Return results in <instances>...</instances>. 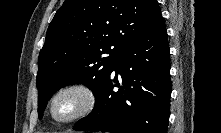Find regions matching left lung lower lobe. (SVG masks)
<instances>
[{
	"instance_id": "1",
	"label": "left lung lower lobe",
	"mask_w": 221,
	"mask_h": 133,
	"mask_svg": "<svg viewBox=\"0 0 221 133\" xmlns=\"http://www.w3.org/2000/svg\"><path fill=\"white\" fill-rule=\"evenodd\" d=\"M169 55L167 31L160 17L120 51L108 79L96 95L95 108L73 129L167 133L171 95ZM114 87L120 89L114 91Z\"/></svg>"
}]
</instances>
